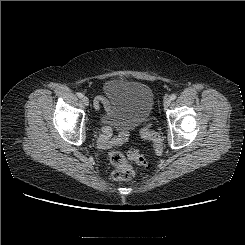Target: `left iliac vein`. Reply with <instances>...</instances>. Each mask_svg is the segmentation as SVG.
<instances>
[{"label":"left iliac vein","instance_id":"4c4485c4","mask_svg":"<svg viewBox=\"0 0 245 245\" xmlns=\"http://www.w3.org/2000/svg\"><path fill=\"white\" fill-rule=\"evenodd\" d=\"M170 104H171V99L170 98H165L164 99V102H163V106H164V108H168L169 106H170Z\"/></svg>","mask_w":245,"mask_h":245}]
</instances>
